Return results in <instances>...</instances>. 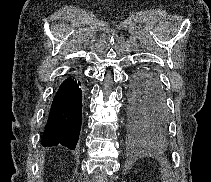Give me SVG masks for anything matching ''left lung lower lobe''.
Returning a JSON list of instances; mask_svg holds the SVG:
<instances>
[{
    "instance_id": "left-lung-lower-lobe-1",
    "label": "left lung lower lobe",
    "mask_w": 211,
    "mask_h": 182,
    "mask_svg": "<svg viewBox=\"0 0 211 182\" xmlns=\"http://www.w3.org/2000/svg\"><path fill=\"white\" fill-rule=\"evenodd\" d=\"M129 96L136 118L147 125L153 134L164 132L168 113L157 74L147 68L138 70L132 76Z\"/></svg>"
}]
</instances>
